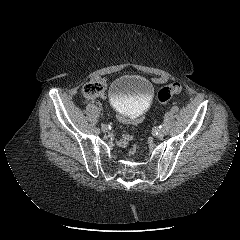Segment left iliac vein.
<instances>
[{
    "label": "left iliac vein",
    "instance_id": "left-iliac-vein-1",
    "mask_svg": "<svg viewBox=\"0 0 240 240\" xmlns=\"http://www.w3.org/2000/svg\"><path fill=\"white\" fill-rule=\"evenodd\" d=\"M168 132V128L166 131H163L162 128L158 132V138H163Z\"/></svg>",
    "mask_w": 240,
    "mask_h": 240
}]
</instances>
